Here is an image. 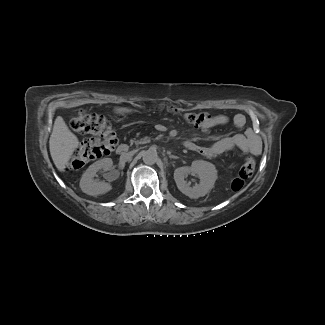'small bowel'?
<instances>
[{"mask_svg":"<svg viewBox=\"0 0 325 325\" xmlns=\"http://www.w3.org/2000/svg\"><path fill=\"white\" fill-rule=\"evenodd\" d=\"M208 120L201 126V131L203 133H210L213 128L217 126H222L232 122L236 128H242L245 125L246 119L242 114H236L230 117L225 114H215L211 115L207 113ZM188 149L197 151L209 158L218 157L231 150H239L241 153L254 152L251 140L244 133H237L230 137H224L209 146H199L193 143L187 145Z\"/></svg>","mask_w":325,"mask_h":325,"instance_id":"1","label":"small bowel"}]
</instances>
